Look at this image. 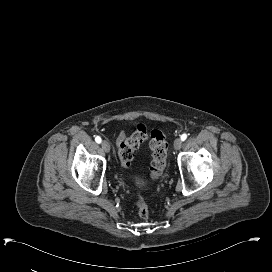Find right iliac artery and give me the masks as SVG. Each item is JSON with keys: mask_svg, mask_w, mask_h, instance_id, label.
I'll list each match as a JSON object with an SVG mask.
<instances>
[{"mask_svg": "<svg viewBox=\"0 0 272 272\" xmlns=\"http://www.w3.org/2000/svg\"><path fill=\"white\" fill-rule=\"evenodd\" d=\"M95 141H96L97 143H101V138H100L99 136H97V137L95 138Z\"/></svg>", "mask_w": 272, "mask_h": 272, "instance_id": "1", "label": "right iliac artery"}]
</instances>
